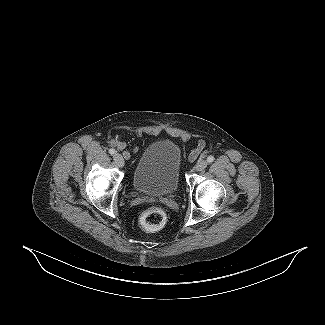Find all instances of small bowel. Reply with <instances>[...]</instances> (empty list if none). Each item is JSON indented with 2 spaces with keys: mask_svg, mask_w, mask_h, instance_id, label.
I'll list each match as a JSON object with an SVG mask.
<instances>
[{
  "mask_svg": "<svg viewBox=\"0 0 325 325\" xmlns=\"http://www.w3.org/2000/svg\"><path fill=\"white\" fill-rule=\"evenodd\" d=\"M111 145L114 146L115 148L123 151V156L126 158V159H129L130 156H131V153L129 151L126 150V145L124 142L122 141H118V140H111ZM200 148H202V145H200Z\"/></svg>",
  "mask_w": 325,
  "mask_h": 325,
  "instance_id": "small-bowel-1",
  "label": "small bowel"
}]
</instances>
